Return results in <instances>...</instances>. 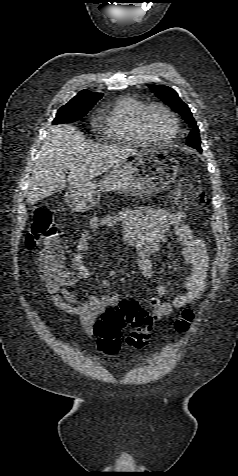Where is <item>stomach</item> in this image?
<instances>
[{
  "label": "stomach",
  "mask_w": 238,
  "mask_h": 476,
  "mask_svg": "<svg viewBox=\"0 0 238 476\" xmlns=\"http://www.w3.org/2000/svg\"><path fill=\"white\" fill-rule=\"evenodd\" d=\"M178 161L164 151H133L100 182L90 180L70 186L64 200L74 212H86L100 201L102 192L122 195H156L174 181Z\"/></svg>",
  "instance_id": "stomach-1"
}]
</instances>
